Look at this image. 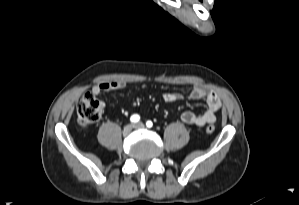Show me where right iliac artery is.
Segmentation results:
<instances>
[{
    "label": "right iliac artery",
    "mask_w": 299,
    "mask_h": 205,
    "mask_svg": "<svg viewBox=\"0 0 299 205\" xmlns=\"http://www.w3.org/2000/svg\"><path fill=\"white\" fill-rule=\"evenodd\" d=\"M139 120H140V116L137 115V114L132 115L131 118H130V121L133 122V123H136Z\"/></svg>",
    "instance_id": "obj_1"
}]
</instances>
